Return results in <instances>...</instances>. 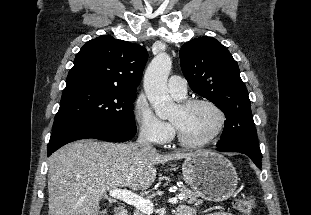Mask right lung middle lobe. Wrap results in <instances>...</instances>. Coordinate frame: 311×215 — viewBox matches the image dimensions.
I'll return each mask as SVG.
<instances>
[{
  "label": "right lung middle lobe",
  "instance_id": "dd1d6c3e",
  "mask_svg": "<svg viewBox=\"0 0 311 215\" xmlns=\"http://www.w3.org/2000/svg\"><path fill=\"white\" fill-rule=\"evenodd\" d=\"M136 92L89 84L67 86L52 132L68 128H136L133 102Z\"/></svg>",
  "mask_w": 311,
  "mask_h": 215
}]
</instances>
